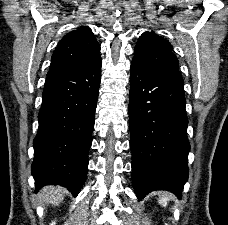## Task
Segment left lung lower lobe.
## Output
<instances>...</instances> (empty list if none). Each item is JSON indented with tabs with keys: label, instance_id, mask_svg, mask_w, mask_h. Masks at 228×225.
I'll return each instance as SVG.
<instances>
[{
	"label": "left lung lower lobe",
	"instance_id": "left-lung-lower-lobe-1",
	"mask_svg": "<svg viewBox=\"0 0 228 225\" xmlns=\"http://www.w3.org/2000/svg\"><path fill=\"white\" fill-rule=\"evenodd\" d=\"M182 77L158 73L133 61L129 129L132 185L139 199L154 190L181 198L188 179L190 144Z\"/></svg>",
	"mask_w": 228,
	"mask_h": 225
}]
</instances>
